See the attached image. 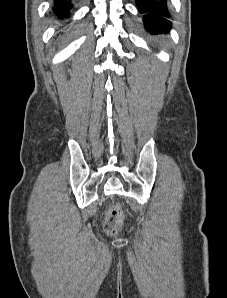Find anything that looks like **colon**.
<instances>
[{
    "instance_id": "obj_1",
    "label": "colon",
    "mask_w": 227,
    "mask_h": 298,
    "mask_svg": "<svg viewBox=\"0 0 227 298\" xmlns=\"http://www.w3.org/2000/svg\"><path fill=\"white\" fill-rule=\"evenodd\" d=\"M122 224V216L118 210H112L108 213L104 222V231L108 236L116 235Z\"/></svg>"
}]
</instances>
